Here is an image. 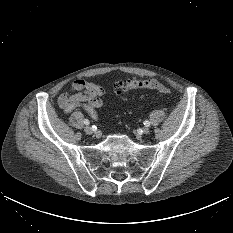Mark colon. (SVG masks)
I'll list each match as a JSON object with an SVG mask.
<instances>
[{"instance_id": "obj_1", "label": "colon", "mask_w": 233, "mask_h": 233, "mask_svg": "<svg viewBox=\"0 0 233 233\" xmlns=\"http://www.w3.org/2000/svg\"><path fill=\"white\" fill-rule=\"evenodd\" d=\"M136 89H151L164 94L170 93V89L166 85L154 79L139 80L133 78V79H128L127 81L118 82L115 85V90L118 94H123L130 90H136Z\"/></svg>"}]
</instances>
